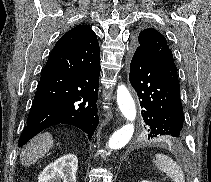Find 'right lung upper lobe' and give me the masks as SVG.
Instances as JSON below:
<instances>
[{"mask_svg": "<svg viewBox=\"0 0 211 182\" xmlns=\"http://www.w3.org/2000/svg\"><path fill=\"white\" fill-rule=\"evenodd\" d=\"M92 32L93 31L88 26L79 25L69 30L65 35H63L60 38L59 41H69V42L77 41L81 38H84L85 36L89 35Z\"/></svg>", "mask_w": 211, "mask_h": 182, "instance_id": "obj_1", "label": "right lung upper lobe"}]
</instances>
